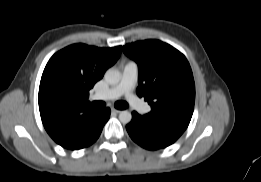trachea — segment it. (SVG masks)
<instances>
[{
	"label": "trachea",
	"mask_w": 261,
	"mask_h": 182,
	"mask_svg": "<svg viewBox=\"0 0 261 182\" xmlns=\"http://www.w3.org/2000/svg\"><path fill=\"white\" fill-rule=\"evenodd\" d=\"M90 106H92L93 108H97V109H101V108H104L105 107V103L103 101H94L92 103H89ZM114 106L117 108V109H120V110H123V109H126L128 108V104L124 101H117Z\"/></svg>",
	"instance_id": "trachea-1"
}]
</instances>
